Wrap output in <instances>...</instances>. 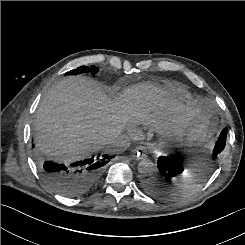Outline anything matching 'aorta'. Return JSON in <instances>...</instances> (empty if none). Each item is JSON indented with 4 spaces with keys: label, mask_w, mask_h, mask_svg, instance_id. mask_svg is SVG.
Segmentation results:
<instances>
[{
    "label": "aorta",
    "mask_w": 245,
    "mask_h": 245,
    "mask_svg": "<svg viewBox=\"0 0 245 245\" xmlns=\"http://www.w3.org/2000/svg\"><path fill=\"white\" fill-rule=\"evenodd\" d=\"M155 170L154 163L149 159H143L138 164V172L143 176H150Z\"/></svg>",
    "instance_id": "1"
}]
</instances>
